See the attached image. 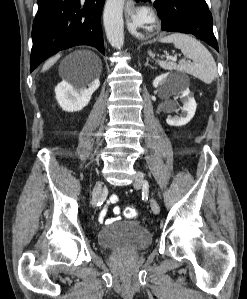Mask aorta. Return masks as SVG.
Listing matches in <instances>:
<instances>
[{"mask_svg": "<svg viewBox=\"0 0 247 299\" xmlns=\"http://www.w3.org/2000/svg\"><path fill=\"white\" fill-rule=\"evenodd\" d=\"M125 0H106L103 23L112 47L121 49L124 44L123 7Z\"/></svg>", "mask_w": 247, "mask_h": 299, "instance_id": "aorta-1", "label": "aorta"}]
</instances>
